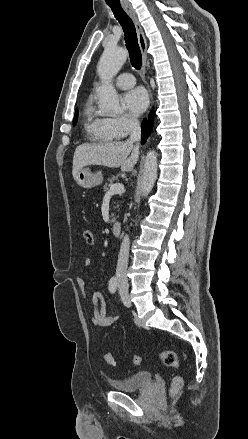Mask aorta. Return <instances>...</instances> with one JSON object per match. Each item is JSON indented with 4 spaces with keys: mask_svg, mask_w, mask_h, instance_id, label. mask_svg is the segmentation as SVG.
<instances>
[{
    "mask_svg": "<svg viewBox=\"0 0 248 439\" xmlns=\"http://www.w3.org/2000/svg\"><path fill=\"white\" fill-rule=\"evenodd\" d=\"M127 51L117 46H107L98 62L97 72L101 79L98 91V102L101 111L105 114L122 111L117 92L112 85L113 77L119 72L127 59ZM157 178V154L149 151L144 163L142 178V192L146 197L152 191Z\"/></svg>",
    "mask_w": 248,
    "mask_h": 439,
    "instance_id": "obj_1",
    "label": "aorta"
}]
</instances>
